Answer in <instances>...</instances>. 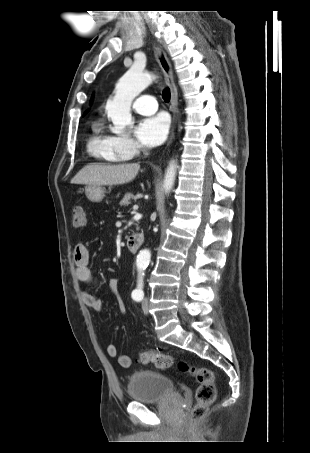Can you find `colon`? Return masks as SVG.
<instances>
[{"mask_svg": "<svg viewBox=\"0 0 310 453\" xmlns=\"http://www.w3.org/2000/svg\"><path fill=\"white\" fill-rule=\"evenodd\" d=\"M73 225L82 227L86 223V213L81 207L73 210ZM140 362L153 364L158 369H169L177 366L178 370L191 375L197 382L196 401L189 415L190 423L203 419L216 398V385L213 372L205 367L191 365L184 360H176L172 355L155 350L140 352Z\"/></svg>", "mask_w": 310, "mask_h": 453, "instance_id": "obj_1", "label": "colon"}]
</instances>
